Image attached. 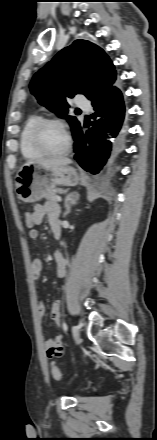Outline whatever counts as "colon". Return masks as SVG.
<instances>
[{"instance_id": "obj_1", "label": "colon", "mask_w": 157, "mask_h": 440, "mask_svg": "<svg viewBox=\"0 0 157 440\" xmlns=\"http://www.w3.org/2000/svg\"><path fill=\"white\" fill-rule=\"evenodd\" d=\"M24 222L27 228L34 229L36 227V222L33 216V212H26L24 215ZM64 349L57 345L55 347H53L50 351L51 356H56V357H60L63 355ZM51 373H52V377L56 380V381H60L62 379V374L60 369L54 364L52 363L51 365Z\"/></svg>"}]
</instances>
